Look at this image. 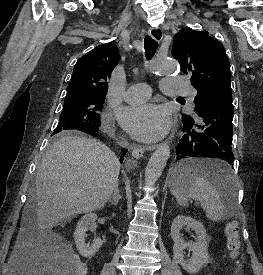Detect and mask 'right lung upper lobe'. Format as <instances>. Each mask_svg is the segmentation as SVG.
<instances>
[{"label": "right lung upper lobe", "mask_w": 263, "mask_h": 275, "mask_svg": "<svg viewBox=\"0 0 263 275\" xmlns=\"http://www.w3.org/2000/svg\"><path fill=\"white\" fill-rule=\"evenodd\" d=\"M119 60V51L114 43L98 45L82 56L74 67L66 98L79 95L105 97L106 81Z\"/></svg>", "instance_id": "right-lung-upper-lobe-1"}]
</instances>
